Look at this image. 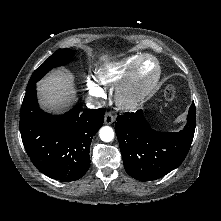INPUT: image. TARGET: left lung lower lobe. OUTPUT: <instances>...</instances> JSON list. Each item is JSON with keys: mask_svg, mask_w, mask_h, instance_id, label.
Segmentation results:
<instances>
[{"mask_svg": "<svg viewBox=\"0 0 221 221\" xmlns=\"http://www.w3.org/2000/svg\"><path fill=\"white\" fill-rule=\"evenodd\" d=\"M187 120L180 132L165 133L152 129L142 110L118 116L115 131L126 172L137 180L152 181L179 167L194 137V102Z\"/></svg>", "mask_w": 221, "mask_h": 221, "instance_id": "obj_1", "label": "left lung lower lobe"}]
</instances>
